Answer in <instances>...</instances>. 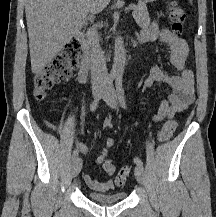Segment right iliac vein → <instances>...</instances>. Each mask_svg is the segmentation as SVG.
I'll list each match as a JSON object with an SVG mask.
<instances>
[{
	"label": "right iliac vein",
	"mask_w": 216,
	"mask_h": 217,
	"mask_svg": "<svg viewBox=\"0 0 216 217\" xmlns=\"http://www.w3.org/2000/svg\"><path fill=\"white\" fill-rule=\"evenodd\" d=\"M104 89L102 87H97L93 90V96L95 99H98L102 96ZM82 168V160L81 158H76L72 164V175L76 177Z\"/></svg>",
	"instance_id": "63e3f726"
}]
</instances>
